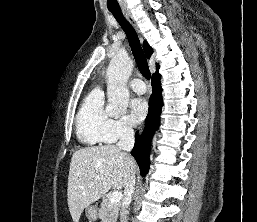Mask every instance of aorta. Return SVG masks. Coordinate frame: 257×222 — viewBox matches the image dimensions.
I'll return each instance as SVG.
<instances>
[{"mask_svg": "<svg viewBox=\"0 0 257 222\" xmlns=\"http://www.w3.org/2000/svg\"><path fill=\"white\" fill-rule=\"evenodd\" d=\"M133 62L124 51H120L111 60L107 68V112L118 116L126 112L129 104L127 80L132 72Z\"/></svg>", "mask_w": 257, "mask_h": 222, "instance_id": "aorta-1", "label": "aorta"}]
</instances>
